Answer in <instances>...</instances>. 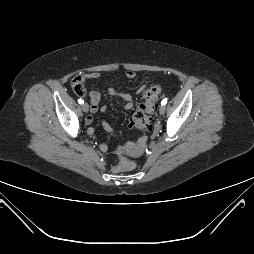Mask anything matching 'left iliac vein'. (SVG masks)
I'll use <instances>...</instances> for the list:
<instances>
[{
	"mask_svg": "<svg viewBox=\"0 0 254 254\" xmlns=\"http://www.w3.org/2000/svg\"><path fill=\"white\" fill-rule=\"evenodd\" d=\"M165 111H166V107H165V106H161V107L159 108V113H160L161 115H163V114L165 113Z\"/></svg>",
	"mask_w": 254,
	"mask_h": 254,
	"instance_id": "left-iliac-vein-1",
	"label": "left iliac vein"
}]
</instances>
